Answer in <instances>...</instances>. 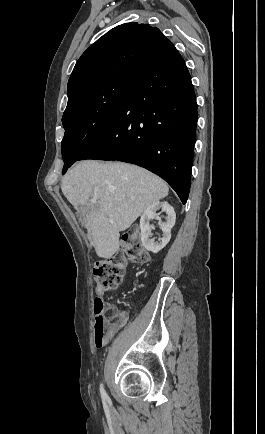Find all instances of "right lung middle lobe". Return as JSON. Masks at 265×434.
I'll return each instance as SVG.
<instances>
[{
    "label": "right lung middle lobe",
    "instance_id": "right-lung-middle-lobe-1",
    "mask_svg": "<svg viewBox=\"0 0 265 434\" xmlns=\"http://www.w3.org/2000/svg\"><path fill=\"white\" fill-rule=\"evenodd\" d=\"M135 76L112 75L68 90L62 117L63 173L105 132L121 107Z\"/></svg>",
    "mask_w": 265,
    "mask_h": 434
}]
</instances>
